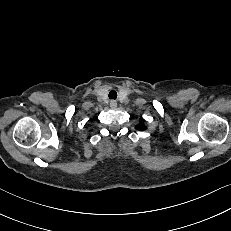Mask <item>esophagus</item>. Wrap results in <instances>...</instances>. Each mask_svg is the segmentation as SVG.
Masks as SVG:
<instances>
[{
  "label": "esophagus",
  "instance_id": "obj_1",
  "mask_svg": "<svg viewBox=\"0 0 231 231\" xmlns=\"http://www.w3.org/2000/svg\"><path fill=\"white\" fill-rule=\"evenodd\" d=\"M117 106V102L115 100L110 101V107L115 108Z\"/></svg>",
  "mask_w": 231,
  "mask_h": 231
}]
</instances>
